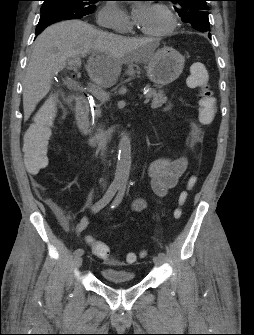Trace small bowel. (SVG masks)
Segmentation results:
<instances>
[{
	"mask_svg": "<svg viewBox=\"0 0 254 335\" xmlns=\"http://www.w3.org/2000/svg\"><path fill=\"white\" fill-rule=\"evenodd\" d=\"M186 168H187V159L184 157H179L176 159H170V158L155 159L149 166V175L151 177V188L153 193L158 197L166 196L171 189L176 187L180 177L185 173ZM30 173L36 174L38 172H30ZM133 207L135 210H142L145 207V203L142 200H137L135 201ZM59 222L64 229L66 230L70 229V218L68 216L59 217ZM89 223L90 219L88 217H83L76 225V227L73 229V231L76 234H79L88 227ZM92 252L94 253L93 249ZM102 259L109 263L107 259L104 258Z\"/></svg>",
	"mask_w": 254,
	"mask_h": 335,
	"instance_id": "obj_1",
	"label": "small bowel"
}]
</instances>
